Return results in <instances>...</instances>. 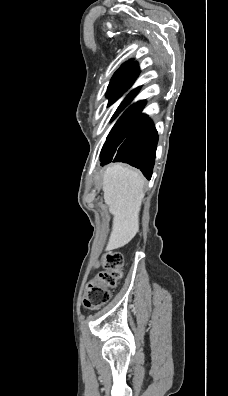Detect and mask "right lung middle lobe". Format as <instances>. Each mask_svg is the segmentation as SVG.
<instances>
[{
    "instance_id": "1",
    "label": "right lung middle lobe",
    "mask_w": 228,
    "mask_h": 396,
    "mask_svg": "<svg viewBox=\"0 0 228 396\" xmlns=\"http://www.w3.org/2000/svg\"><path fill=\"white\" fill-rule=\"evenodd\" d=\"M138 76V72L118 77L115 79H111L106 96L109 98L108 106L117 101L134 83L135 79ZM138 89H134L130 92V94L124 99L121 105L118 107L117 111L112 117V120L115 119L118 114L132 101L133 97L136 95Z\"/></svg>"
}]
</instances>
